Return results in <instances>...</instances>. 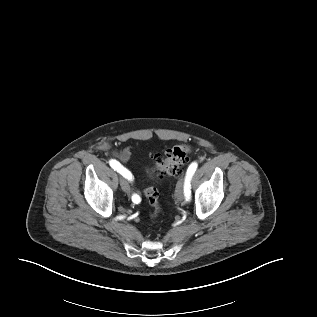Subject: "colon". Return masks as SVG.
<instances>
[{
  "mask_svg": "<svg viewBox=\"0 0 317 317\" xmlns=\"http://www.w3.org/2000/svg\"><path fill=\"white\" fill-rule=\"evenodd\" d=\"M191 148L189 145L180 144L166 150L164 155L156 154L154 156V165L158 173L175 175L179 169L185 164L187 154ZM144 194L152 207L151 217L156 218L161 212V206L158 200V191L154 187H146Z\"/></svg>",
  "mask_w": 317,
  "mask_h": 317,
  "instance_id": "5ec220e1",
  "label": "colon"
}]
</instances>
